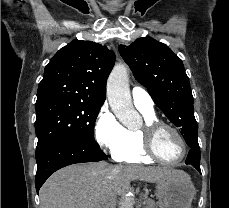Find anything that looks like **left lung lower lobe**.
<instances>
[{"label":"left lung lower lobe","mask_w":229,"mask_h":208,"mask_svg":"<svg viewBox=\"0 0 229 208\" xmlns=\"http://www.w3.org/2000/svg\"><path fill=\"white\" fill-rule=\"evenodd\" d=\"M187 145L191 148L188 153L187 159L185 161L186 164H191L194 168L201 173L200 170V148L197 141V134H187L183 135Z\"/></svg>","instance_id":"1"}]
</instances>
